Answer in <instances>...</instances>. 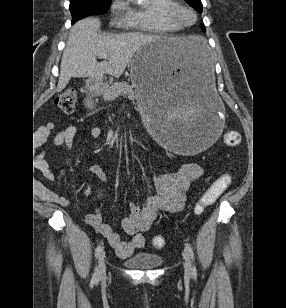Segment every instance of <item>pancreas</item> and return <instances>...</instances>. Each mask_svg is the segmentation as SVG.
I'll use <instances>...</instances> for the list:
<instances>
[{
  "mask_svg": "<svg viewBox=\"0 0 286 308\" xmlns=\"http://www.w3.org/2000/svg\"><path fill=\"white\" fill-rule=\"evenodd\" d=\"M100 92L105 101H113L122 95H129L132 99L137 97L136 92L133 90V86L129 85L127 82H116L110 86H104L101 88Z\"/></svg>",
  "mask_w": 286,
  "mask_h": 308,
  "instance_id": "1",
  "label": "pancreas"
}]
</instances>
